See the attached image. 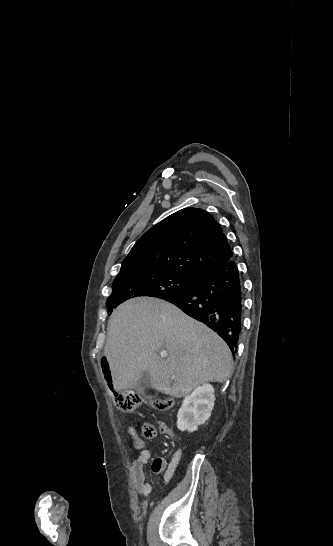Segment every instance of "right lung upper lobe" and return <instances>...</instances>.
<instances>
[{
	"instance_id": "right-lung-upper-lobe-1",
	"label": "right lung upper lobe",
	"mask_w": 333,
	"mask_h": 546,
	"mask_svg": "<svg viewBox=\"0 0 333 546\" xmlns=\"http://www.w3.org/2000/svg\"><path fill=\"white\" fill-rule=\"evenodd\" d=\"M232 259L226 236L212 215L182 209L148 230L122 262L120 271L173 272L200 278Z\"/></svg>"
}]
</instances>
